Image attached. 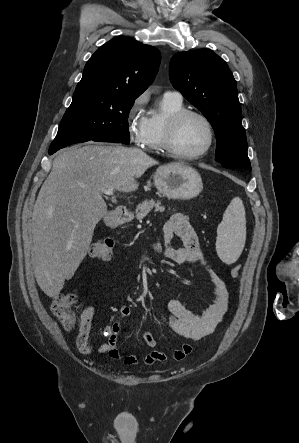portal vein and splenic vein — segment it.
Returning a JSON list of instances; mask_svg holds the SVG:
<instances>
[{
    "label": "portal vein and splenic vein",
    "mask_w": 299,
    "mask_h": 443,
    "mask_svg": "<svg viewBox=\"0 0 299 443\" xmlns=\"http://www.w3.org/2000/svg\"><path fill=\"white\" fill-rule=\"evenodd\" d=\"M101 191L108 196H112L114 194V189H102Z\"/></svg>",
    "instance_id": "18ae733b"
}]
</instances>
